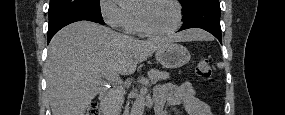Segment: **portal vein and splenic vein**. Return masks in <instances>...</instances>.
<instances>
[{
    "label": "portal vein and splenic vein",
    "mask_w": 285,
    "mask_h": 115,
    "mask_svg": "<svg viewBox=\"0 0 285 115\" xmlns=\"http://www.w3.org/2000/svg\"><path fill=\"white\" fill-rule=\"evenodd\" d=\"M109 77H110L112 80H114V81H119V80H120L118 74H110Z\"/></svg>",
    "instance_id": "portal-vein-and-splenic-vein-1"
}]
</instances>
